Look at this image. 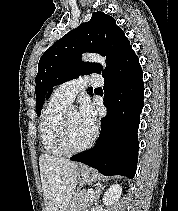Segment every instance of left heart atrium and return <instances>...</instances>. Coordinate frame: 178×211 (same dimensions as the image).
I'll list each match as a JSON object with an SVG mask.
<instances>
[{"label":"left heart atrium","instance_id":"left-heart-atrium-1","mask_svg":"<svg viewBox=\"0 0 178 211\" xmlns=\"http://www.w3.org/2000/svg\"><path fill=\"white\" fill-rule=\"evenodd\" d=\"M79 118L84 126L89 130L94 131L96 126V112L89 101L83 102L79 112Z\"/></svg>","mask_w":178,"mask_h":211}]
</instances>
